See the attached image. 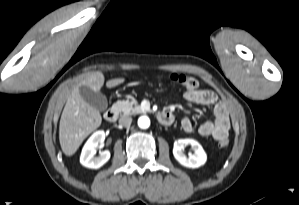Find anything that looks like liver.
<instances>
[{"instance_id": "liver-1", "label": "liver", "mask_w": 299, "mask_h": 205, "mask_svg": "<svg viewBox=\"0 0 299 205\" xmlns=\"http://www.w3.org/2000/svg\"><path fill=\"white\" fill-rule=\"evenodd\" d=\"M104 80L102 72H89L69 95L59 123V141L65 155L72 156L84 139L102 122L100 112L85 102L79 93V87L87 86L93 91L99 92L104 85ZM124 81V78L111 79L106 82V86L113 88Z\"/></svg>"}]
</instances>
